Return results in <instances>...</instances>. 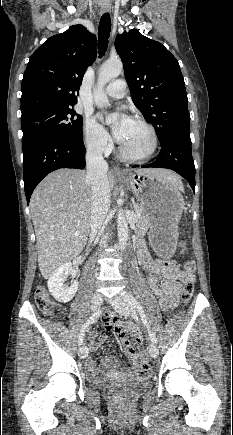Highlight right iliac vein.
Segmentation results:
<instances>
[{
    "mask_svg": "<svg viewBox=\"0 0 233 435\" xmlns=\"http://www.w3.org/2000/svg\"><path fill=\"white\" fill-rule=\"evenodd\" d=\"M102 304V296L99 293H95L91 299V309L92 311H96ZM79 356L82 359L87 358L88 356V348L85 344H82L79 349Z\"/></svg>",
    "mask_w": 233,
    "mask_h": 435,
    "instance_id": "right-iliac-vein-1",
    "label": "right iliac vein"
}]
</instances>
